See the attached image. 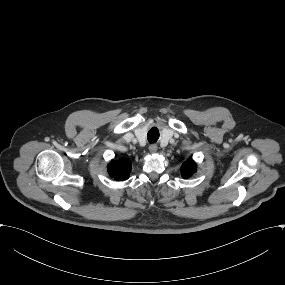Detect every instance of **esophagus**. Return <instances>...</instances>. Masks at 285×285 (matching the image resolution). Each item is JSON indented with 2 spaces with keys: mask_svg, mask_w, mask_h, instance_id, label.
<instances>
[{
  "mask_svg": "<svg viewBox=\"0 0 285 285\" xmlns=\"http://www.w3.org/2000/svg\"><path fill=\"white\" fill-rule=\"evenodd\" d=\"M149 152H150L151 154L156 153V152H157V145H156V144H151V145L149 146Z\"/></svg>",
  "mask_w": 285,
  "mask_h": 285,
  "instance_id": "obj_1",
  "label": "esophagus"
}]
</instances>
